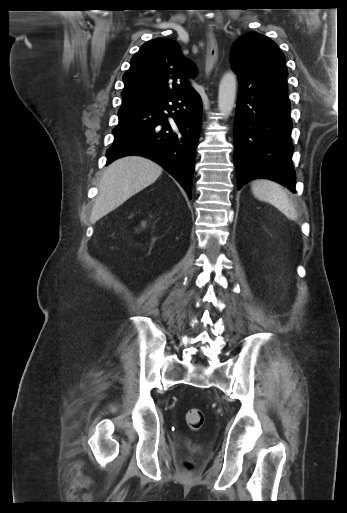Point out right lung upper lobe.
<instances>
[{
	"instance_id": "cb5924a9",
	"label": "right lung upper lobe",
	"mask_w": 347,
	"mask_h": 513,
	"mask_svg": "<svg viewBox=\"0 0 347 513\" xmlns=\"http://www.w3.org/2000/svg\"><path fill=\"white\" fill-rule=\"evenodd\" d=\"M176 41L156 38L143 44L123 75L124 91L120 111L152 104L194 90L186 77L195 73Z\"/></svg>"
}]
</instances>
